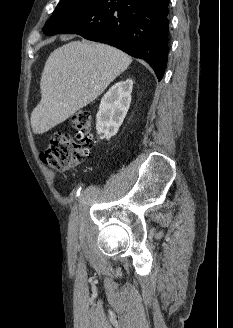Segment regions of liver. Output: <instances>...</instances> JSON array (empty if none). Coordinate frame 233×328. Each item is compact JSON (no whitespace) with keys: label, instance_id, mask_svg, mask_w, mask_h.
<instances>
[{"label":"liver","instance_id":"1","mask_svg":"<svg viewBox=\"0 0 233 328\" xmlns=\"http://www.w3.org/2000/svg\"><path fill=\"white\" fill-rule=\"evenodd\" d=\"M131 62L126 53L101 43L73 41L55 49L41 75L33 132L49 131L94 101Z\"/></svg>","mask_w":233,"mask_h":328}]
</instances>
